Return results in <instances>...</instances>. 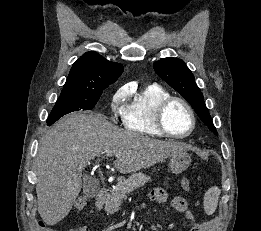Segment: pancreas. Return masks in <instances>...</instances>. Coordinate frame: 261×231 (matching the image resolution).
Instances as JSON below:
<instances>
[{"instance_id":"obj_1","label":"pancreas","mask_w":261,"mask_h":231,"mask_svg":"<svg viewBox=\"0 0 261 231\" xmlns=\"http://www.w3.org/2000/svg\"><path fill=\"white\" fill-rule=\"evenodd\" d=\"M150 180V176H147L142 172L134 173L127 179H124L123 177L119 178V182L115 188L110 189V194L104 202L105 211L109 214L118 212L126 195Z\"/></svg>"}]
</instances>
